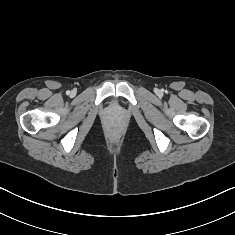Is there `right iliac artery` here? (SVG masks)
<instances>
[{
    "mask_svg": "<svg viewBox=\"0 0 235 235\" xmlns=\"http://www.w3.org/2000/svg\"><path fill=\"white\" fill-rule=\"evenodd\" d=\"M66 94L69 95V94H70V91H67Z\"/></svg>",
    "mask_w": 235,
    "mask_h": 235,
    "instance_id": "82829eb1",
    "label": "right iliac artery"
}]
</instances>
